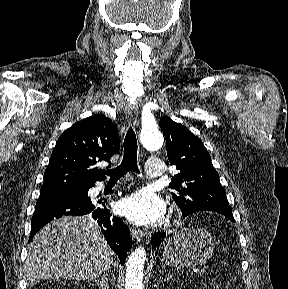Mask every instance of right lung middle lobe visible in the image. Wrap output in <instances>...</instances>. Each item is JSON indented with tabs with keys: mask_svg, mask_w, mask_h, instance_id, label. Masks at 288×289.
<instances>
[{
	"mask_svg": "<svg viewBox=\"0 0 288 289\" xmlns=\"http://www.w3.org/2000/svg\"><path fill=\"white\" fill-rule=\"evenodd\" d=\"M89 188L45 189L40 191L39 200L75 199L82 202L91 201L87 195Z\"/></svg>",
	"mask_w": 288,
	"mask_h": 289,
	"instance_id": "dd1d6c3e",
	"label": "right lung middle lobe"
}]
</instances>
